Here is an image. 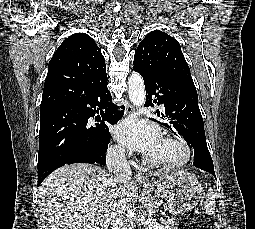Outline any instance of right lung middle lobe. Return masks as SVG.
I'll return each mask as SVG.
<instances>
[{"mask_svg":"<svg viewBox=\"0 0 255 229\" xmlns=\"http://www.w3.org/2000/svg\"><path fill=\"white\" fill-rule=\"evenodd\" d=\"M88 127V123L74 113L41 121L38 164L44 168H51L63 163L74 147L87 139ZM88 147L93 155H97L96 139L89 138Z\"/></svg>","mask_w":255,"mask_h":229,"instance_id":"dd1d6c3e","label":"right lung middle lobe"}]
</instances>
